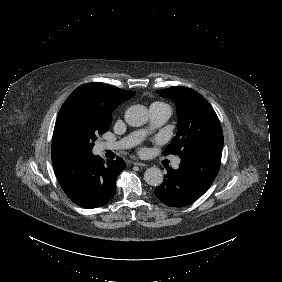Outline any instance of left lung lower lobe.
Segmentation results:
<instances>
[{
  "instance_id": "obj_1",
  "label": "left lung lower lobe",
  "mask_w": 282,
  "mask_h": 282,
  "mask_svg": "<svg viewBox=\"0 0 282 282\" xmlns=\"http://www.w3.org/2000/svg\"><path fill=\"white\" fill-rule=\"evenodd\" d=\"M222 151L201 149L181 158L177 170L170 169L155 190L166 205L184 207L202 196L213 183L220 167Z\"/></svg>"
}]
</instances>
